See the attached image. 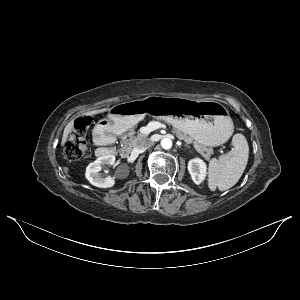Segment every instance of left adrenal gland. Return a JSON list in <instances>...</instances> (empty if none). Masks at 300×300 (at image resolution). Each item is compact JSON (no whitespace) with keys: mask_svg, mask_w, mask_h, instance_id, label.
I'll list each match as a JSON object with an SVG mask.
<instances>
[{"mask_svg":"<svg viewBox=\"0 0 300 300\" xmlns=\"http://www.w3.org/2000/svg\"><path fill=\"white\" fill-rule=\"evenodd\" d=\"M185 146H186L187 148H190V146H189V145H187V144H185Z\"/></svg>","mask_w":300,"mask_h":300,"instance_id":"left-adrenal-gland-1","label":"left adrenal gland"}]
</instances>
